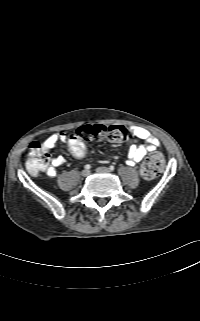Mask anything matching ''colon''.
<instances>
[{"mask_svg":"<svg viewBox=\"0 0 200 321\" xmlns=\"http://www.w3.org/2000/svg\"><path fill=\"white\" fill-rule=\"evenodd\" d=\"M128 130L123 126L116 125H83L79 127L74 135L67 137L64 146L70 151L72 157L81 160L86 155L84 141L105 140L113 143H122L129 139ZM27 168L30 173L38 174L49 163L50 155L43 145L37 141L32 142L26 151ZM164 168L163 156L158 152H153L147 156L142 163L140 173L144 179L152 180L156 178Z\"/></svg>","mask_w":200,"mask_h":321,"instance_id":"1","label":"colon"}]
</instances>
